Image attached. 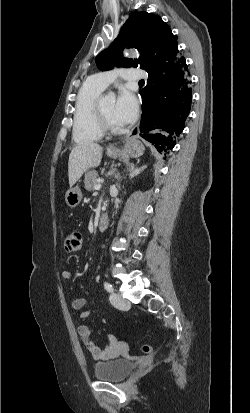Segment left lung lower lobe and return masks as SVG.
<instances>
[{
	"instance_id": "left-lung-lower-lobe-1",
	"label": "left lung lower lobe",
	"mask_w": 250,
	"mask_h": 413,
	"mask_svg": "<svg viewBox=\"0 0 250 413\" xmlns=\"http://www.w3.org/2000/svg\"><path fill=\"white\" fill-rule=\"evenodd\" d=\"M147 72V85L140 90L143 98L140 136L159 152H167L175 146V136L184 129L192 102L188 66L177 43H161Z\"/></svg>"
}]
</instances>
